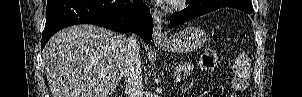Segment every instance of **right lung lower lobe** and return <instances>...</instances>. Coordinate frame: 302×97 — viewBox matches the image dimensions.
Returning <instances> with one entry per match:
<instances>
[{"instance_id": "1", "label": "right lung lower lobe", "mask_w": 302, "mask_h": 97, "mask_svg": "<svg viewBox=\"0 0 302 97\" xmlns=\"http://www.w3.org/2000/svg\"><path fill=\"white\" fill-rule=\"evenodd\" d=\"M84 23L133 31L145 43L151 41L153 33V18L143 0H48L41 50L57 31Z\"/></svg>"}]
</instances>
